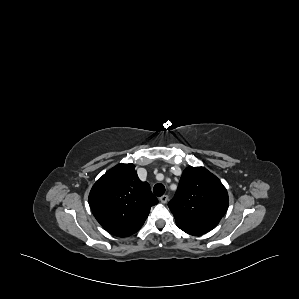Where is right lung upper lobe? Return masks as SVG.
<instances>
[{
    "label": "right lung upper lobe",
    "instance_id": "1",
    "mask_svg": "<svg viewBox=\"0 0 299 299\" xmlns=\"http://www.w3.org/2000/svg\"><path fill=\"white\" fill-rule=\"evenodd\" d=\"M158 203L133 164H118L93 185L89 205L97 221L110 234L127 237L144 224L150 208Z\"/></svg>",
    "mask_w": 299,
    "mask_h": 299
}]
</instances>
